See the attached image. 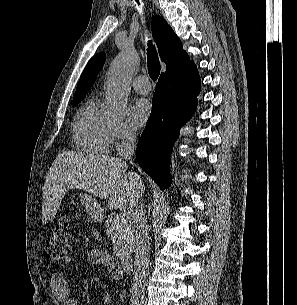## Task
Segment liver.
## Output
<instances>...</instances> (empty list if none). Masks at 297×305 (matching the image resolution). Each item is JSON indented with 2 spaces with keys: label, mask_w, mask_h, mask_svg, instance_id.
<instances>
[{
  "label": "liver",
  "mask_w": 297,
  "mask_h": 305,
  "mask_svg": "<svg viewBox=\"0 0 297 305\" xmlns=\"http://www.w3.org/2000/svg\"><path fill=\"white\" fill-rule=\"evenodd\" d=\"M127 163L115 157L83 152L63 151L58 154L46 176L43 188L42 223L57 214L68 189H83L101 199H109L108 207L133 206L144 192L140 177L127 171Z\"/></svg>",
  "instance_id": "1"
}]
</instances>
